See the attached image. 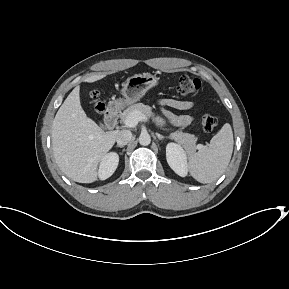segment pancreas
Listing matches in <instances>:
<instances>
[{
    "label": "pancreas",
    "instance_id": "1",
    "mask_svg": "<svg viewBox=\"0 0 289 289\" xmlns=\"http://www.w3.org/2000/svg\"><path fill=\"white\" fill-rule=\"evenodd\" d=\"M135 111L144 114L146 117H152L156 125H163L162 119L160 117H155L154 113L152 112V108L148 105H144L143 103H137L125 109L121 114V120L124 122L125 119ZM169 137L183 145L188 153H194L197 149V138L192 134L184 133L182 131H175L171 133Z\"/></svg>",
    "mask_w": 289,
    "mask_h": 289
}]
</instances>
